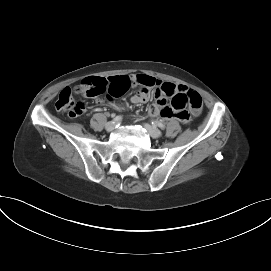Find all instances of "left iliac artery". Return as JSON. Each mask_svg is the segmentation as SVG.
I'll list each match as a JSON object with an SVG mask.
<instances>
[{
	"label": "left iliac artery",
	"mask_w": 271,
	"mask_h": 271,
	"mask_svg": "<svg viewBox=\"0 0 271 271\" xmlns=\"http://www.w3.org/2000/svg\"><path fill=\"white\" fill-rule=\"evenodd\" d=\"M152 124L158 126L161 129H165V125L159 121H152Z\"/></svg>",
	"instance_id": "left-iliac-artery-1"
}]
</instances>
